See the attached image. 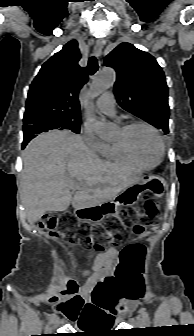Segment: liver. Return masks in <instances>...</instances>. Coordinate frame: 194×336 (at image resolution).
Returning a JSON list of instances; mask_svg holds the SVG:
<instances>
[{
  "instance_id": "6515ba94",
  "label": "liver",
  "mask_w": 194,
  "mask_h": 336,
  "mask_svg": "<svg viewBox=\"0 0 194 336\" xmlns=\"http://www.w3.org/2000/svg\"><path fill=\"white\" fill-rule=\"evenodd\" d=\"M140 180V171L99 159L69 131L41 134L23 152L22 196L31 225L70 204L78 209L110 201Z\"/></svg>"
}]
</instances>
